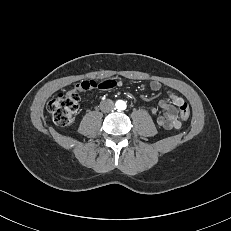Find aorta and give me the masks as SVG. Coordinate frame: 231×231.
<instances>
[{"label":"aorta","instance_id":"obj_1","mask_svg":"<svg viewBox=\"0 0 231 231\" xmlns=\"http://www.w3.org/2000/svg\"><path fill=\"white\" fill-rule=\"evenodd\" d=\"M125 102L124 101H122V100H118L117 102H116V107L118 108V109H123L124 107H125Z\"/></svg>","mask_w":231,"mask_h":231}]
</instances>
